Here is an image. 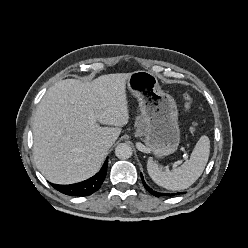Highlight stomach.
Here are the masks:
<instances>
[{
	"mask_svg": "<svg viewBox=\"0 0 248 248\" xmlns=\"http://www.w3.org/2000/svg\"><path fill=\"white\" fill-rule=\"evenodd\" d=\"M127 87L139 102L146 146L157 158L174 153L180 143L174 98L161 90L154 74L144 70L132 72Z\"/></svg>",
	"mask_w": 248,
	"mask_h": 248,
	"instance_id": "stomach-1",
	"label": "stomach"
}]
</instances>
